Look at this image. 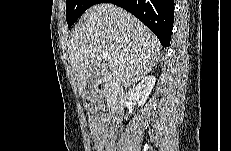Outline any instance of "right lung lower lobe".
Returning a JSON list of instances; mask_svg holds the SVG:
<instances>
[{
  "mask_svg": "<svg viewBox=\"0 0 231 151\" xmlns=\"http://www.w3.org/2000/svg\"><path fill=\"white\" fill-rule=\"evenodd\" d=\"M112 3L132 13L159 39L163 48L171 40L174 22V0H100Z\"/></svg>",
  "mask_w": 231,
  "mask_h": 151,
  "instance_id": "1",
  "label": "right lung lower lobe"
}]
</instances>
